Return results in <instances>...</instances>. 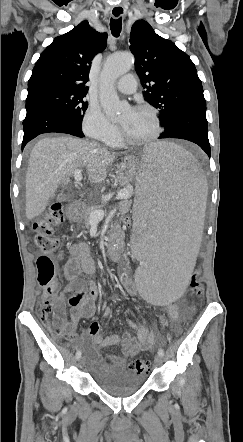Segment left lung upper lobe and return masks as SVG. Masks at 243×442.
Masks as SVG:
<instances>
[{
    "mask_svg": "<svg viewBox=\"0 0 243 442\" xmlns=\"http://www.w3.org/2000/svg\"><path fill=\"white\" fill-rule=\"evenodd\" d=\"M130 50L135 68L144 85L145 99L160 112L164 125L184 103L205 101L201 80L190 57L173 42L157 35L144 20L131 29Z\"/></svg>",
    "mask_w": 243,
    "mask_h": 442,
    "instance_id": "left-lung-upper-lobe-1",
    "label": "left lung upper lobe"
}]
</instances>
